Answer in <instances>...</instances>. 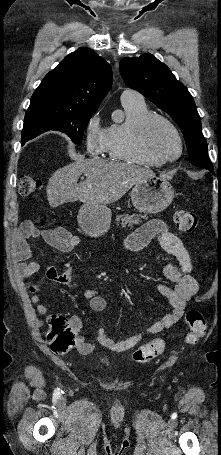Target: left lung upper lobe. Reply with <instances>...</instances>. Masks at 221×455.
<instances>
[{
  "label": "left lung upper lobe",
  "mask_w": 221,
  "mask_h": 455,
  "mask_svg": "<svg viewBox=\"0 0 221 455\" xmlns=\"http://www.w3.org/2000/svg\"><path fill=\"white\" fill-rule=\"evenodd\" d=\"M120 73L126 85L168 113L180 127L191 163L209 168L208 145L201 131L200 116L187 88L164 63L151 54L123 58Z\"/></svg>",
  "instance_id": "obj_1"
}]
</instances>
